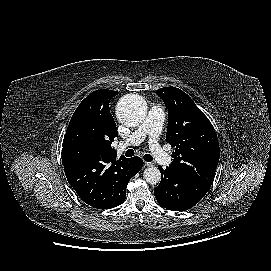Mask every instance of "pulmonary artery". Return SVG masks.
I'll return each instance as SVG.
<instances>
[{
    "label": "pulmonary artery",
    "mask_w": 271,
    "mask_h": 271,
    "mask_svg": "<svg viewBox=\"0 0 271 271\" xmlns=\"http://www.w3.org/2000/svg\"><path fill=\"white\" fill-rule=\"evenodd\" d=\"M164 119L165 110L161 106H153L148 112L145 121L131 133L126 141L118 145L117 150L122 152L125 148L136 146L147 139L150 152L155 161L162 166L169 165L172 159L158 143Z\"/></svg>",
    "instance_id": "pulmonary-artery-1"
}]
</instances>
